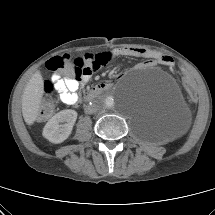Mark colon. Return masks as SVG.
I'll use <instances>...</instances> for the list:
<instances>
[{"mask_svg": "<svg viewBox=\"0 0 215 215\" xmlns=\"http://www.w3.org/2000/svg\"><path fill=\"white\" fill-rule=\"evenodd\" d=\"M46 67L52 72H60L61 75L66 77H71L76 75L78 78L81 76L82 64L80 59L75 60V62L70 61L68 55L55 56L46 62ZM177 72L179 73V78L182 80L181 87L187 93L186 100L188 103L193 104L197 100L198 93L193 81L188 77L186 72V67L184 65H179L177 67ZM53 84L47 82L45 84V94L43 98V105L41 110V117H47L53 111Z\"/></svg>", "mask_w": 215, "mask_h": 215, "instance_id": "5ec220e1", "label": "colon"}]
</instances>
